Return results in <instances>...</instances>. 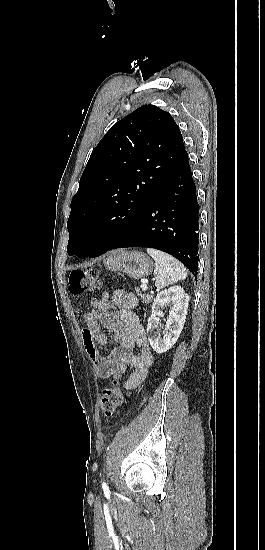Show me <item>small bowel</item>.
<instances>
[{
	"mask_svg": "<svg viewBox=\"0 0 265 550\" xmlns=\"http://www.w3.org/2000/svg\"><path fill=\"white\" fill-rule=\"evenodd\" d=\"M136 305L134 295L117 290L111 296L105 294L102 299L93 300L91 309L84 315L83 343L95 375L102 379L119 376L130 366L133 371L123 383L126 390L142 383L154 360L145 329L133 311ZM101 325L109 329L117 344L106 355L97 348L108 342ZM135 346L140 348L138 353L133 352Z\"/></svg>",
	"mask_w": 265,
	"mask_h": 550,
	"instance_id": "small-bowel-1",
	"label": "small bowel"
}]
</instances>
